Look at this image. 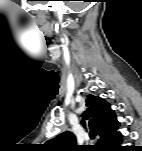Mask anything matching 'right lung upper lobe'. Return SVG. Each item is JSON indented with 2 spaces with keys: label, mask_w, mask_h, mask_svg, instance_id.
I'll return each instance as SVG.
<instances>
[{
  "label": "right lung upper lobe",
  "mask_w": 142,
  "mask_h": 151,
  "mask_svg": "<svg viewBox=\"0 0 142 151\" xmlns=\"http://www.w3.org/2000/svg\"><path fill=\"white\" fill-rule=\"evenodd\" d=\"M86 106L87 109L82 114L81 124L91 138L100 136L98 140L100 149L112 150L121 142L122 138V135L117 132L120 123L117 121L114 111L104 99L93 95L87 96ZM46 148L71 151L78 149V145H76L75 136L67 131L47 141Z\"/></svg>",
  "instance_id": "right-lung-upper-lobe-1"
}]
</instances>
